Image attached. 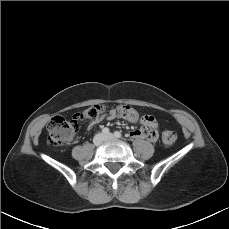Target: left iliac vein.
Returning <instances> with one entry per match:
<instances>
[{
    "label": "left iliac vein",
    "instance_id": "4c4485c4",
    "mask_svg": "<svg viewBox=\"0 0 229 229\" xmlns=\"http://www.w3.org/2000/svg\"><path fill=\"white\" fill-rule=\"evenodd\" d=\"M113 139H115V136L111 133L105 136V140H113Z\"/></svg>",
    "mask_w": 229,
    "mask_h": 229
}]
</instances>
